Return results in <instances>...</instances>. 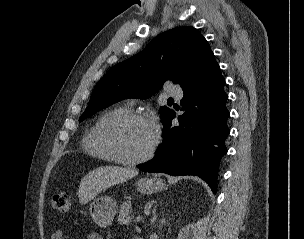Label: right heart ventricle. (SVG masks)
<instances>
[{
  "mask_svg": "<svg viewBox=\"0 0 304 239\" xmlns=\"http://www.w3.org/2000/svg\"><path fill=\"white\" fill-rule=\"evenodd\" d=\"M125 112H129L127 107L116 106L98 116L82 139V148L88 155L105 161H113L112 155L102 141L101 134L103 128L111 119Z\"/></svg>",
  "mask_w": 304,
  "mask_h": 239,
  "instance_id": "right-heart-ventricle-1",
  "label": "right heart ventricle"
}]
</instances>
